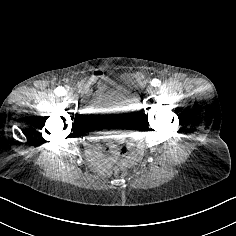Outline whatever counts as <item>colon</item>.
Here are the masks:
<instances>
[{"label": "colon", "instance_id": "obj_1", "mask_svg": "<svg viewBox=\"0 0 236 236\" xmlns=\"http://www.w3.org/2000/svg\"><path fill=\"white\" fill-rule=\"evenodd\" d=\"M127 173V168L125 166H118L115 168V175L117 177H124Z\"/></svg>", "mask_w": 236, "mask_h": 236}]
</instances>
